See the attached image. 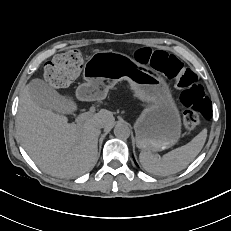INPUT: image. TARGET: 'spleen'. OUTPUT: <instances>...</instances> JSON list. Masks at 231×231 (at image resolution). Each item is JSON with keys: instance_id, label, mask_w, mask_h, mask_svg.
I'll list each match as a JSON object with an SVG mask.
<instances>
[{"instance_id": "obj_1", "label": "spleen", "mask_w": 231, "mask_h": 231, "mask_svg": "<svg viewBox=\"0 0 231 231\" xmlns=\"http://www.w3.org/2000/svg\"><path fill=\"white\" fill-rule=\"evenodd\" d=\"M207 138V130H202L189 143L176 148L162 157L149 151H141L139 160L142 167L149 173L168 176L186 168L199 154Z\"/></svg>"}]
</instances>
